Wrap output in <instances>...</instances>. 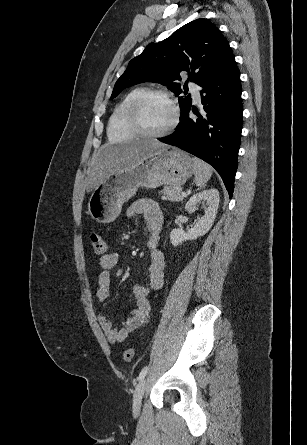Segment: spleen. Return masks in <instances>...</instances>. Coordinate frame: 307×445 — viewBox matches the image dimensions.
<instances>
[{"label":"spleen","mask_w":307,"mask_h":445,"mask_svg":"<svg viewBox=\"0 0 307 445\" xmlns=\"http://www.w3.org/2000/svg\"><path fill=\"white\" fill-rule=\"evenodd\" d=\"M192 162L196 186H205V182L209 180L213 172L212 166L204 162V160H200V158H192Z\"/></svg>","instance_id":"1"}]
</instances>
